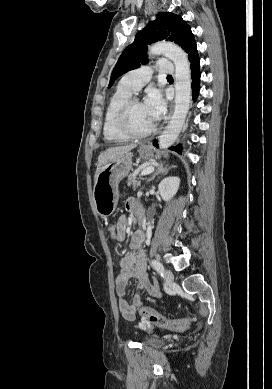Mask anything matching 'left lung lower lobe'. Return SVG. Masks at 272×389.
Masks as SVG:
<instances>
[{"label": "left lung lower lobe", "instance_id": "left-lung-lower-lobe-1", "mask_svg": "<svg viewBox=\"0 0 272 389\" xmlns=\"http://www.w3.org/2000/svg\"><path fill=\"white\" fill-rule=\"evenodd\" d=\"M188 58L191 63L190 68H191V78H192L193 99H196L200 88V59L196 47L192 50ZM153 145L158 147L157 141H154ZM170 149L175 150L179 153L181 152L180 145L176 147H172Z\"/></svg>", "mask_w": 272, "mask_h": 389}]
</instances>
